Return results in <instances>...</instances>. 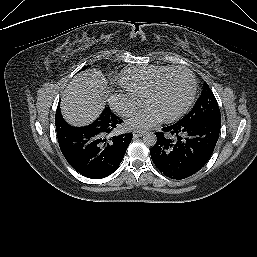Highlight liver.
Listing matches in <instances>:
<instances>
[{"label":"liver","instance_id":"liver-1","mask_svg":"<svg viewBox=\"0 0 257 257\" xmlns=\"http://www.w3.org/2000/svg\"><path fill=\"white\" fill-rule=\"evenodd\" d=\"M105 84L103 73L96 68L77 74L63 92L61 111L64 118L74 126L93 122L105 106Z\"/></svg>","mask_w":257,"mask_h":257}]
</instances>
